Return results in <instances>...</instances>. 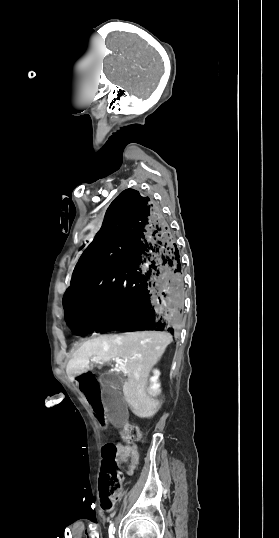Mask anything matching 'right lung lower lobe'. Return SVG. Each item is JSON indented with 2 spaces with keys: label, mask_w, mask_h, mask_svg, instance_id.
Masks as SVG:
<instances>
[{
  "label": "right lung lower lobe",
  "mask_w": 279,
  "mask_h": 538,
  "mask_svg": "<svg viewBox=\"0 0 279 538\" xmlns=\"http://www.w3.org/2000/svg\"><path fill=\"white\" fill-rule=\"evenodd\" d=\"M184 281L168 221L149 197L124 190L79 259L63 297L78 335L119 330L174 334L183 316ZM85 323H71L77 308Z\"/></svg>",
  "instance_id": "1"
}]
</instances>
